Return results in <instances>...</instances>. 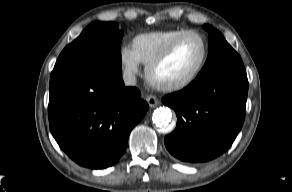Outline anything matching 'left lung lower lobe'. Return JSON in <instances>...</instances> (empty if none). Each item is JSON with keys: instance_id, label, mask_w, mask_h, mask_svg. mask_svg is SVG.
<instances>
[{"instance_id": "0a47b994", "label": "left lung lower lobe", "mask_w": 292, "mask_h": 192, "mask_svg": "<svg viewBox=\"0 0 292 192\" xmlns=\"http://www.w3.org/2000/svg\"><path fill=\"white\" fill-rule=\"evenodd\" d=\"M246 71H225L196 78L162 101L177 115L176 129L165 137L167 150L184 162H206L223 154L244 121Z\"/></svg>"}]
</instances>
